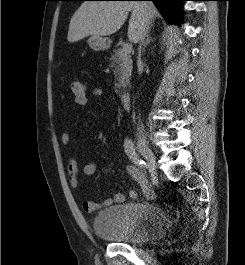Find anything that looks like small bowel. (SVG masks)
Segmentation results:
<instances>
[{"label": "small bowel", "instance_id": "small-bowel-1", "mask_svg": "<svg viewBox=\"0 0 245 265\" xmlns=\"http://www.w3.org/2000/svg\"><path fill=\"white\" fill-rule=\"evenodd\" d=\"M91 94L94 97H102L104 95V91L100 87H94L91 91ZM69 141L70 135L68 134V132H63L60 135V142L63 145H67ZM66 170L68 173V181L71 187L78 188L80 186V174H83L84 176H91L96 172L97 167L94 162L88 161L80 169L77 160L74 158H69L66 163ZM127 172L140 185L141 189L148 199H153L155 197V193L150 188L146 176L138 168L134 166H128ZM129 196L132 199H136L138 197V193L135 190H131L129 192ZM124 201L125 196L122 193L117 192L113 194L112 197L105 199L101 203H97L91 200H84L82 202V209L88 214H93L101 208L109 207L113 204H120Z\"/></svg>", "mask_w": 245, "mask_h": 265}]
</instances>
